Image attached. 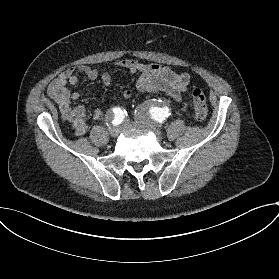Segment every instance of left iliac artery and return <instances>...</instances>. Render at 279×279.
<instances>
[{
	"instance_id": "44dca946",
	"label": "left iliac artery",
	"mask_w": 279,
	"mask_h": 279,
	"mask_svg": "<svg viewBox=\"0 0 279 279\" xmlns=\"http://www.w3.org/2000/svg\"><path fill=\"white\" fill-rule=\"evenodd\" d=\"M168 109H161V108H155L152 112V116L154 118L155 121L159 122V123H164L166 117H168L170 115V113H168Z\"/></svg>"
}]
</instances>
